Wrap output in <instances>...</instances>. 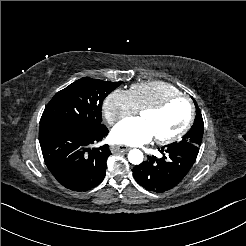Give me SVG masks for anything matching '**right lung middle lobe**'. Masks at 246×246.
Masks as SVG:
<instances>
[{
	"label": "right lung middle lobe",
	"mask_w": 246,
	"mask_h": 246,
	"mask_svg": "<svg viewBox=\"0 0 246 246\" xmlns=\"http://www.w3.org/2000/svg\"><path fill=\"white\" fill-rule=\"evenodd\" d=\"M120 84L87 77L75 81L54 95L42 114L40 125L72 123L90 128L100 126L103 100Z\"/></svg>",
	"instance_id": "1"
}]
</instances>
